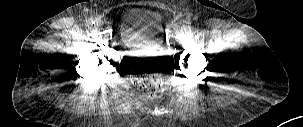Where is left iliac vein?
Instances as JSON below:
<instances>
[{"label":"left iliac vein","instance_id":"left-iliac-vein-1","mask_svg":"<svg viewBox=\"0 0 303 127\" xmlns=\"http://www.w3.org/2000/svg\"><path fill=\"white\" fill-rule=\"evenodd\" d=\"M182 32L184 33H190L191 32V28L189 26H182L181 27Z\"/></svg>","mask_w":303,"mask_h":127}]
</instances>
